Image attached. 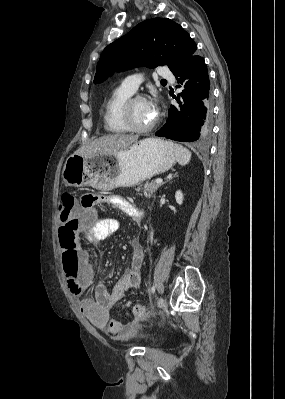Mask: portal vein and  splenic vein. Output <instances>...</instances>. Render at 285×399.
Here are the masks:
<instances>
[{
	"instance_id": "18ae733b",
	"label": "portal vein and splenic vein",
	"mask_w": 285,
	"mask_h": 399,
	"mask_svg": "<svg viewBox=\"0 0 285 399\" xmlns=\"http://www.w3.org/2000/svg\"><path fill=\"white\" fill-rule=\"evenodd\" d=\"M157 184H161L162 182H163V180L162 179H156V181H155Z\"/></svg>"
}]
</instances>
